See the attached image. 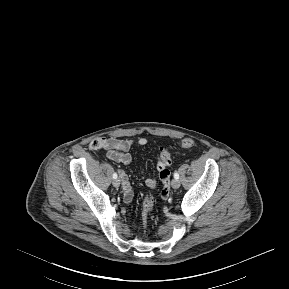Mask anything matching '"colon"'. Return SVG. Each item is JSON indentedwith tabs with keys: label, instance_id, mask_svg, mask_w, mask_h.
Listing matches in <instances>:
<instances>
[{
	"label": "colon",
	"instance_id": "colon-1",
	"mask_svg": "<svg viewBox=\"0 0 289 289\" xmlns=\"http://www.w3.org/2000/svg\"><path fill=\"white\" fill-rule=\"evenodd\" d=\"M178 146L184 149H190L194 147L195 141L192 138H182L177 142ZM159 163L166 165L167 167L171 164V155L169 148L164 146L159 150ZM162 192V191H161ZM153 208L152 197L147 194L143 201L142 206V215L145 222H148L151 219V213Z\"/></svg>",
	"mask_w": 289,
	"mask_h": 289
}]
</instances>
